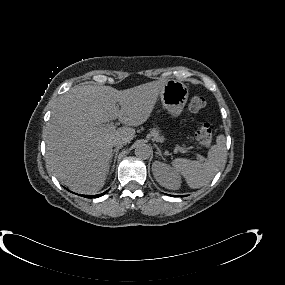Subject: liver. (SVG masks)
<instances>
[{
  "label": "liver",
  "mask_w": 285,
  "mask_h": 285,
  "mask_svg": "<svg viewBox=\"0 0 285 285\" xmlns=\"http://www.w3.org/2000/svg\"><path fill=\"white\" fill-rule=\"evenodd\" d=\"M166 82L125 90L82 85L62 95L47 123L45 139L46 161L56 178L78 193L99 191L105 184L113 140L124 137L128 143L134 138L132 127L147 121ZM117 118L124 127L96 129Z\"/></svg>",
  "instance_id": "1"
}]
</instances>
